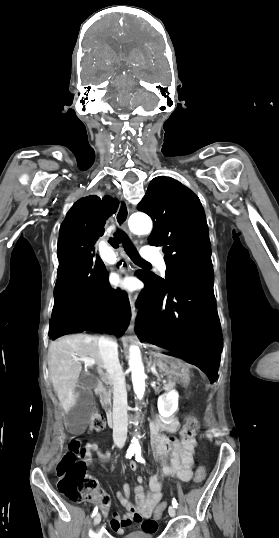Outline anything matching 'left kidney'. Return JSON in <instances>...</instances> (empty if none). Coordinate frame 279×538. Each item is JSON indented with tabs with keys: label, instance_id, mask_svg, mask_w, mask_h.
<instances>
[{
	"label": "left kidney",
	"instance_id": "5707ae66",
	"mask_svg": "<svg viewBox=\"0 0 279 538\" xmlns=\"http://www.w3.org/2000/svg\"><path fill=\"white\" fill-rule=\"evenodd\" d=\"M178 398L179 394L176 392V390H171V392H167V394H162V396H159L158 410L159 414H161L163 418H169V416H172L174 412H177Z\"/></svg>",
	"mask_w": 279,
	"mask_h": 538
}]
</instances>
